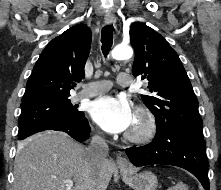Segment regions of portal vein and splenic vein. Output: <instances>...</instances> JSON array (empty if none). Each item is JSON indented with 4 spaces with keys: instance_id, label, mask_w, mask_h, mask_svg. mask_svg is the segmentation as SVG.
I'll use <instances>...</instances> for the list:
<instances>
[{
    "instance_id": "portal-vein-and-splenic-vein-1",
    "label": "portal vein and splenic vein",
    "mask_w": 221,
    "mask_h": 190,
    "mask_svg": "<svg viewBox=\"0 0 221 190\" xmlns=\"http://www.w3.org/2000/svg\"><path fill=\"white\" fill-rule=\"evenodd\" d=\"M63 182L66 184L67 187H72L74 183L71 179H66Z\"/></svg>"
}]
</instances>
